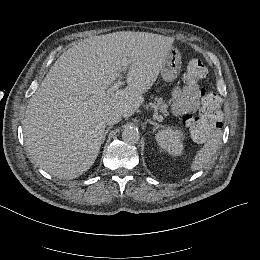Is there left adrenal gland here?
Segmentation results:
<instances>
[{
	"instance_id": "1",
	"label": "left adrenal gland",
	"mask_w": 260,
	"mask_h": 260,
	"mask_svg": "<svg viewBox=\"0 0 260 260\" xmlns=\"http://www.w3.org/2000/svg\"><path fill=\"white\" fill-rule=\"evenodd\" d=\"M147 121H148L151 125L154 126L153 131H156L158 128H164V125H161V124H159V123H157V122H154V121H152V120H150V119H148Z\"/></svg>"
}]
</instances>
